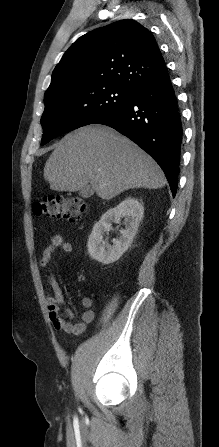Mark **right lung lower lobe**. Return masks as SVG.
Returning a JSON list of instances; mask_svg holds the SVG:
<instances>
[{"label": "right lung lower lobe", "mask_w": 219, "mask_h": 447, "mask_svg": "<svg viewBox=\"0 0 219 447\" xmlns=\"http://www.w3.org/2000/svg\"><path fill=\"white\" fill-rule=\"evenodd\" d=\"M92 124L114 128L153 157L164 171L175 196L183 126L169 75L135 93L128 103L99 117Z\"/></svg>", "instance_id": "98d812e1"}]
</instances>
